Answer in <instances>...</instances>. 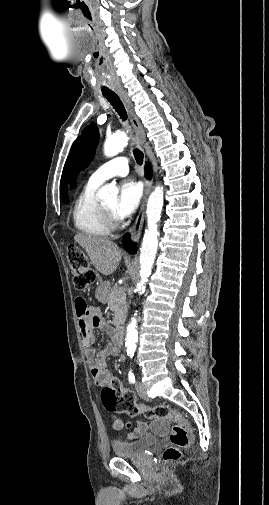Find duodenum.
<instances>
[{"instance_id": "duodenum-1", "label": "duodenum", "mask_w": 269, "mask_h": 505, "mask_svg": "<svg viewBox=\"0 0 269 505\" xmlns=\"http://www.w3.org/2000/svg\"><path fill=\"white\" fill-rule=\"evenodd\" d=\"M124 337V326L122 324H118L114 329V338L118 345L123 344Z\"/></svg>"}]
</instances>
